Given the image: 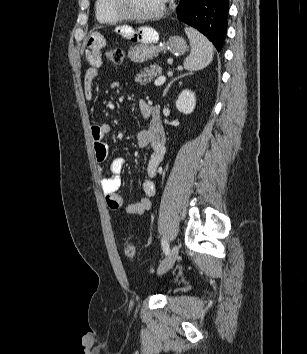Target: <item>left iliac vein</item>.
<instances>
[{
	"label": "left iliac vein",
	"instance_id": "obj_1",
	"mask_svg": "<svg viewBox=\"0 0 307 354\" xmlns=\"http://www.w3.org/2000/svg\"><path fill=\"white\" fill-rule=\"evenodd\" d=\"M178 252H179V247L177 245H174L169 251V253L167 254L166 258L161 263L158 269L159 275L165 274L173 267L178 256Z\"/></svg>",
	"mask_w": 307,
	"mask_h": 354
}]
</instances>
